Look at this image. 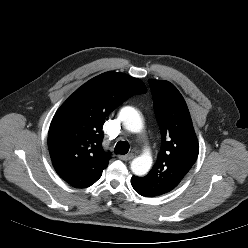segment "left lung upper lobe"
Returning a JSON list of instances; mask_svg holds the SVG:
<instances>
[{"instance_id":"5c2ea615","label":"left lung upper lobe","mask_w":248,"mask_h":248,"mask_svg":"<svg viewBox=\"0 0 248 248\" xmlns=\"http://www.w3.org/2000/svg\"><path fill=\"white\" fill-rule=\"evenodd\" d=\"M154 110L161 131V150L151 171L131 182L154 196L177 187L195 163L199 145L186 102L168 81L149 80Z\"/></svg>"}]
</instances>
